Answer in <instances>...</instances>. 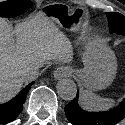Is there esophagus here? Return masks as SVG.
<instances>
[{
    "label": "esophagus",
    "instance_id": "1",
    "mask_svg": "<svg viewBox=\"0 0 125 125\" xmlns=\"http://www.w3.org/2000/svg\"><path fill=\"white\" fill-rule=\"evenodd\" d=\"M72 72H73L72 68L68 66H60L55 70L54 77L56 79H61L70 76Z\"/></svg>",
    "mask_w": 125,
    "mask_h": 125
}]
</instances>
